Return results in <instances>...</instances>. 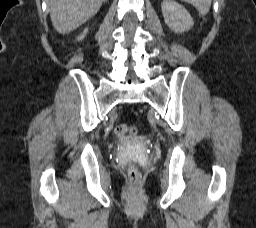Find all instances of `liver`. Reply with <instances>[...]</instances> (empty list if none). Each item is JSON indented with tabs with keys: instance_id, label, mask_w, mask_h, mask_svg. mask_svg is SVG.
I'll list each match as a JSON object with an SVG mask.
<instances>
[{
	"instance_id": "1",
	"label": "liver",
	"mask_w": 256,
	"mask_h": 228,
	"mask_svg": "<svg viewBox=\"0 0 256 228\" xmlns=\"http://www.w3.org/2000/svg\"><path fill=\"white\" fill-rule=\"evenodd\" d=\"M55 30L68 34L92 18L106 0H48Z\"/></svg>"
}]
</instances>
